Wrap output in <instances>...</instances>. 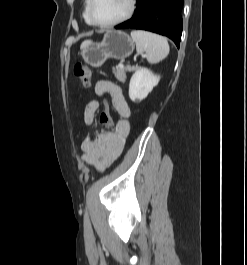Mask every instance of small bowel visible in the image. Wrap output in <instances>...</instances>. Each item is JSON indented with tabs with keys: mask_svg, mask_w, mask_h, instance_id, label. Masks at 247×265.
Wrapping results in <instances>:
<instances>
[{
	"mask_svg": "<svg viewBox=\"0 0 247 265\" xmlns=\"http://www.w3.org/2000/svg\"><path fill=\"white\" fill-rule=\"evenodd\" d=\"M98 96L110 95L112 104L118 114V120L111 132L89 135L81 143V159L98 171L104 170L121 154L130 131L128 118L131 109L122 89L110 81L100 80L95 84ZM99 101L91 100L84 109L83 120L91 125L99 109Z\"/></svg>",
	"mask_w": 247,
	"mask_h": 265,
	"instance_id": "obj_1",
	"label": "small bowel"
}]
</instances>
